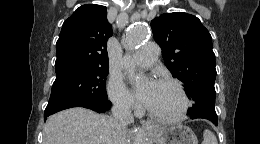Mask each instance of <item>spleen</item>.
<instances>
[{"label": "spleen", "mask_w": 260, "mask_h": 144, "mask_svg": "<svg viewBox=\"0 0 260 144\" xmlns=\"http://www.w3.org/2000/svg\"><path fill=\"white\" fill-rule=\"evenodd\" d=\"M203 138V144H218L216 136L208 129L204 130Z\"/></svg>", "instance_id": "spleen-1"}]
</instances>
